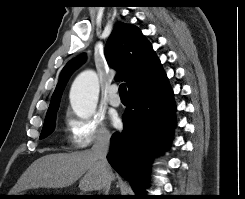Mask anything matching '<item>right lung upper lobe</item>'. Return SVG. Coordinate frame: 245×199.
Returning a JSON list of instances; mask_svg holds the SVG:
<instances>
[{"instance_id": "obj_1", "label": "right lung upper lobe", "mask_w": 245, "mask_h": 199, "mask_svg": "<svg viewBox=\"0 0 245 199\" xmlns=\"http://www.w3.org/2000/svg\"><path fill=\"white\" fill-rule=\"evenodd\" d=\"M105 55L110 66L119 70L117 78L127 82L128 93L147 91L166 78L151 44L133 25L122 22L115 25L107 40ZM85 59L86 55L80 54L65 65L46 116L58 110L62 92L71 74Z\"/></svg>"}]
</instances>
